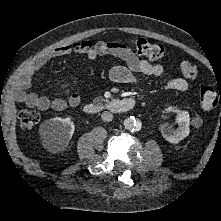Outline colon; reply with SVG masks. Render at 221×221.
Listing matches in <instances>:
<instances>
[{
	"label": "colon",
	"mask_w": 221,
	"mask_h": 221,
	"mask_svg": "<svg viewBox=\"0 0 221 221\" xmlns=\"http://www.w3.org/2000/svg\"><path fill=\"white\" fill-rule=\"evenodd\" d=\"M130 44L137 54L144 56L149 60L157 61L164 56L163 46L147 39H132ZM180 73L184 78L194 80L199 75V68L192 60H183L180 63ZM199 99L200 106L203 110H211L218 104H221V96L209 86L201 88ZM19 122L24 129H31L38 124L39 114L34 110H24L19 115Z\"/></svg>",
	"instance_id": "1"
}]
</instances>
